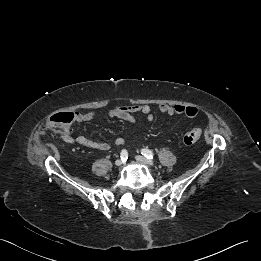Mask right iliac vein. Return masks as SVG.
Listing matches in <instances>:
<instances>
[{"label": "right iliac vein", "mask_w": 261, "mask_h": 261, "mask_svg": "<svg viewBox=\"0 0 261 261\" xmlns=\"http://www.w3.org/2000/svg\"><path fill=\"white\" fill-rule=\"evenodd\" d=\"M123 164V161L121 160V159H117L116 161H115V165L116 166H121Z\"/></svg>", "instance_id": "right-iliac-vein-1"}]
</instances>
